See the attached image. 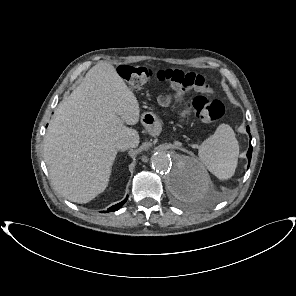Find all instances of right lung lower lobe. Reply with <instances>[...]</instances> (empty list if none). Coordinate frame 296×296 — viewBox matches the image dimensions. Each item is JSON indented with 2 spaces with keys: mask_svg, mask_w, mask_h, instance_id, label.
I'll return each mask as SVG.
<instances>
[{
  "mask_svg": "<svg viewBox=\"0 0 296 296\" xmlns=\"http://www.w3.org/2000/svg\"><path fill=\"white\" fill-rule=\"evenodd\" d=\"M126 200H127V198L124 199L122 202H120V203H118V204H116V205L110 207V208L108 209V211H117L118 209H120V208L123 206V204L126 202ZM105 212H106V211H105Z\"/></svg>",
  "mask_w": 296,
  "mask_h": 296,
  "instance_id": "obj_1",
  "label": "right lung lower lobe"
}]
</instances>
